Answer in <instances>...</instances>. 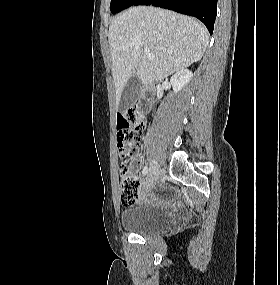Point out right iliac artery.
Here are the masks:
<instances>
[{
    "label": "right iliac artery",
    "mask_w": 280,
    "mask_h": 285,
    "mask_svg": "<svg viewBox=\"0 0 280 285\" xmlns=\"http://www.w3.org/2000/svg\"><path fill=\"white\" fill-rule=\"evenodd\" d=\"M142 173H143V176H145V175L148 173V167H147V166H145V167L143 168Z\"/></svg>",
    "instance_id": "obj_1"
}]
</instances>
